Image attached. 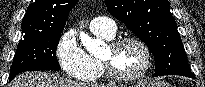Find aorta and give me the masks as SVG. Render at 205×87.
<instances>
[{"label":"aorta","mask_w":205,"mask_h":87,"mask_svg":"<svg viewBox=\"0 0 205 87\" xmlns=\"http://www.w3.org/2000/svg\"><path fill=\"white\" fill-rule=\"evenodd\" d=\"M82 45L90 52L99 50L103 46V41L100 39H93L88 34L81 32L79 36Z\"/></svg>","instance_id":"762f6f07"}]
</instances>
